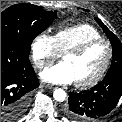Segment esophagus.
<instances>
[{
    "label": "esophagus",
    "instance_id": "obj_1",
    "mask_svg": "<svg viewBox=\"0 0 122 122\" xmlns=\"http://www.w3.org/2000/svg\"><path fill=\"white\" fill-rule=\"evenodd\" d=\"M41 86L44 87V88H46V89H54V86L53 85L46 84V83L41 84Z\"/></svg>",
    "mask_w": 122,
    "mask_h": 122
}]
</instances>
